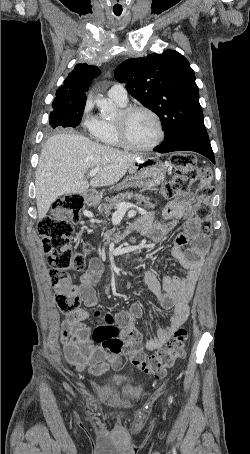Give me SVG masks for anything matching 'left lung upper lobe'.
Instances as JSON below:
<instances>
[{
  "mask_svg": "<svg viewBox=\"0 0 250 454\" xmlns=\"http://www.w3.org/2000/svg\"><path fill=\"white\" fill-rule=\"evenodd\" d=\"M116 79L161 120L166 144L203 127V112L195 74L188 60L175 50L128 59L115 71Z\"/></svg>",
  "mask_w": 250,
  "mask_h": 454,
  "instance_id": "1",
  "label": "left lung upper lobe"
}]
</instances>
